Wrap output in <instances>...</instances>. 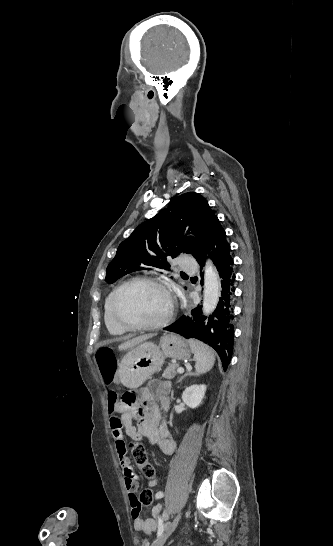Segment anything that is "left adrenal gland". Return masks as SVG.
Here are the masks:
<instances>
[{
    "mask_svg": "<svg viewBox=\"0 0 333 546\" xmlns=\"http://www.w3.org/2000/svg\"><path fill=\"white\" fill-rule=\"evenodd\" d=\"M192 375H194V373H192V372L186 373L184 376H182V377L178 380V382H181L185 377H187V376H192Z\"/></svg>",
    "mask_w": 333,
    "mask_h": 546,
    "instance_id": "obj_1",
    "label": "left adrenal gland"
}]
</instances>
